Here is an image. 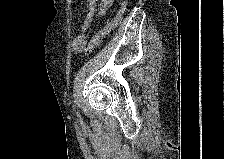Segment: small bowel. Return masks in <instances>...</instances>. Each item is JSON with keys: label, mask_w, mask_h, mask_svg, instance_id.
Instances as JSON below:
<instances>
[{"label": "small bowel", "mask_w": 225, "mask_h": 159, "mask_svg": "<svg viewBox=\"0 0 225 159\" xmlns=\"http://www.w3.org/2000/svg\"><path fill=\"white\" fill-rule=\"evenodd\" d=\"M113 0H101L98 6V13L104 15L108 12ZM96 10V0H88L87 2V16L84 20L82 27L76 33L72 41V50L76 54H80L85 50L87 44V29L91 23Z\"/></svg>", "instance_id": "obj_1"}]
</instances>
